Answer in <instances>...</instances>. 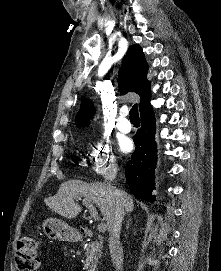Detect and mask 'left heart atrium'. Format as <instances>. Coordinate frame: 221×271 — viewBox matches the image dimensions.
I'll return each mask as SVG.
<instances>
[{
    "instance_id": "39dd6f15",
    "label": "left heart atrium",
    "mask_w": 221,
    "mask_h": 271,
    "mask_svg": "<svg viewBox=\"0 0 221 271\" xmlns=\"http://www.w3.org/2000/svg\"><path fill=\"white\" fill-rule=\"evenodd\" d=\"M120 149L123 152H129L132 149V142L129 138H124L120 142Z\"/></svg>"
}]
</instances>
